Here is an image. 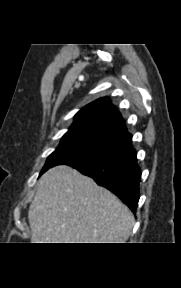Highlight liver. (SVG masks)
<instances>
[{
  "label": "liver",
  "instance_id": "liver-1",
  "mask_svg": "<svg viewBox=\"0 0 181 288\" xmlns=\"http://www.w3.org/2000/svg\"><path fill=\"white\" fill-rule=\"evenodd\" d=\"M28 221L33 243H125L135 222L114 194L67 165L41 176Z\"/></svg>",
  "mask_w": 181,
  "mask_h": 288
}]
</instances>
